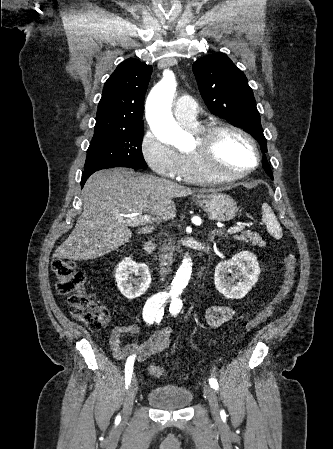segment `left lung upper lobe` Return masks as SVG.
I'll return each instance as SVG.
<instances>
[{"mask_svg": "<svg viewBox=\"0 0 333 449\" xmlns=\"http://www.w3.org/2000/svg\"><path fill=\"white\" fill-rule=\"evenodd\" d=\"M193 72L211 113L243 128L259 142L262 152H267L260 114L244 73L224 53L198 59Z\"/></svg>", "mask_w": 333, "mask_h": 449, "instance_id": "1", "label": "left lung upper lobe"}]
</instances>
